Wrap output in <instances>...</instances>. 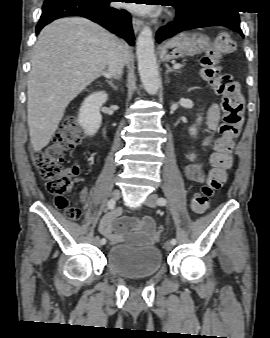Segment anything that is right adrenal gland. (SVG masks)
<instances>
[{"mask_svg":"<svg viewBox=\"0 0 270 338\" xmlns=\"http://www.w3.org/2000/svg\"><path fill=\"white\" fill-rule=\"evenodd\" d=\"M104 77L106 78L107 83H108L114 90H117V89H118V85L115 84L112 80H110L107 74H104Z\"/></svg>","mask_w":270,"mask_h":338,"instance_id":"2a0ac1e0","label":"right adrenal gland"}]
</instances>
